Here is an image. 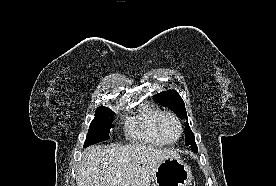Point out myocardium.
<instances>
[{
    "mask_svg": "<svg viewBox=\"0 0 276 186\" xmlns=\"http://www.w3.org/2000/svg\"><path fill=\"white\" fill-rule=\"evenodd\" d=\"M166 119L173 120L179 129V135H178L177 139H175V140L168 139L163 130V123ZM157 132H158L159 136L163 139V141H165L167 144H175L176 142L179 141V139L181 138V136L183 134V126H182L180 119L178 118V116L176 114H174L173 112H170V111H166V112H162L158 118Z\"/></svg>",
    "mask_w": 276,
    "mask_h": 186,
    "instance_id": "myocardium-1",
    "label": "myocardium"
}]
</instances>
